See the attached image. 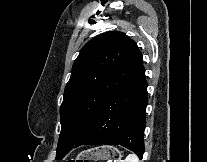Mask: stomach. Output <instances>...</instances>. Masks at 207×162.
<instances>
[{"label":"stomach","instance_id":"1","mask_svg":"<svg viewBox=\"0 0 207 162\" xmlns=\"http://www.w3.org/2000/svg\"><path fill=\"white\" fill-rule=\"evenodd\" d=\"M118 157L120 152L116 148L102 145L81 152L75 160H110Z\"/></svg>","mask_w":207,"mask_h":162}]
</instances>
